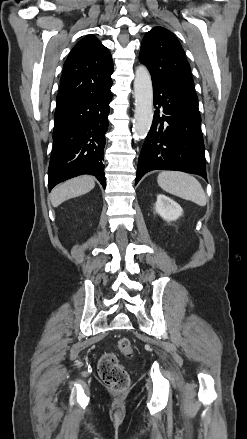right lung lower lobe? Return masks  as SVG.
I'll list each match as a JSON object with an SVG mask.
<instances>
[{
    "instance_id": "obj_1",
    "label": "right lung lower lobe",
    "mask_w": 247,
    "mask_h": 439,
    "mask_svg": "<svg viewBox=\"0 0 247 439\" xmlns=\"http://www.w3.org/2000/svg\"><path fill=\"white\" fill-rule=\"evenodd\" d=\"M110 88L57 106L48 170L49 190L81 174L94 175L105 188L103 151L112 98Z\"/></svg>"
}]
</instances>
